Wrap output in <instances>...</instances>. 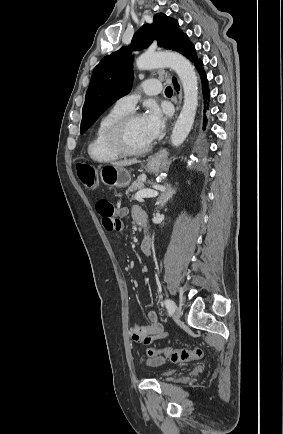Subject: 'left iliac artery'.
Masks as SVG:
<instances>
[{
    "label": "left iliac artery",
    "mask_w": 283,
    "mask_h": 434,
    "mask_svg": "<svg viewBox=\"0 0 283 434\" xmlns=\"http://www.w3.org/2000/svg\"><path fill=\"white\" fill-rule=\"evenodd\" d=\"M164 304L169 314H172L176 308L175 303L171 299H165Z\"/></svg>",
    "instance_id": "44dca946"
}]
</instances>
